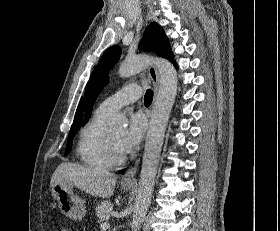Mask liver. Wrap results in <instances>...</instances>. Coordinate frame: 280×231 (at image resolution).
Segmentation results:
<instances>
[{
  "mask_svg": "<svg viewBox=\"0 0 280 231\" xmlns=\"http://www.w3.org/2000/svg\"><path fill=\"white\" fill-rule=\"evenodd\" d=\"M55 181L71 183L89 195L106 199V197L113 195L117 179L116 175L109 173V171L98 173L95 169L83 167L79 163L63 161L56 167L51 177V185H54Z\"/></svg>",
  "mask_w": 280,
  "mask_h": 231,
  "instance_id": "1",
  "label": "liver"
}]
</instances>
